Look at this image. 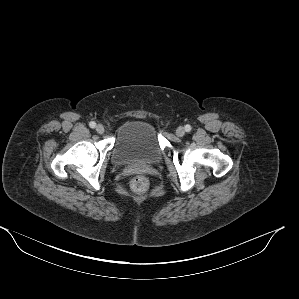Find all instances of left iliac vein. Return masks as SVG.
<instances>
[{
    "label": "left iliac vein",
    "instance_id": "1",
    "mask_svg": "<svg viewBox=\"0 0 299 299\" xmlns=\"http://www.w3.org/2000/svg\"><path fill=\"white\" fill-rule=\"evenodd\" d=\"M177 136L181 137L185 134V129L183 127H178L176 130Z\"/></svg>",
    "mask_w": 299,
    "mask_h": 299
}]
</instances>
